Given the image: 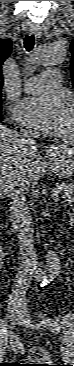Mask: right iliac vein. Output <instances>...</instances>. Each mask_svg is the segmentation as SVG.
Masks as SVG:
<instances>
[{
    "label": "right iliac vein",
    "instance_id": "right-iliac-vein-1",
    "mask_svg": "<svg viewBox=\"0 0 74 366\" xmlns=\"http://www.w3.org/2000/svg\"><path fill=\"white\" fill-rule=\"evenodd\" d=\"M10 313H11V319L14 323H20L21 318H22V313L19 310V307H11L10 308Z\"/></svg>",
    "mask_w": 74,
    "mask_h": 366
}]
</instances>
